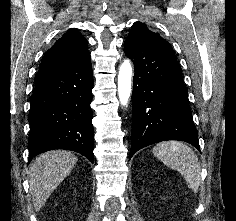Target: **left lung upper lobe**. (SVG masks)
I'll list each match as a JSON object with an SVG mask.
<instances>
[{"instance_id": "obj_1", "label": "left lung upper lobe", "mask_w": 236, "mask_h": 221, "mask_svg": "<svg viewBox=\"0 0 236 221\" xmlns=\"http://www.w3.org/2000/svg\"><path fill=\"white\" fill-rule=\"evenodd\" d=\"M133 33L143 34V35L153 39L154 41L162 44L163 46L173 50L171 45L166 40H164L162 37H160V35L158 33L150 31L147 28V26L141 22H135L133 24L130 34H133Z\"/></svg>"}]
</instances>
